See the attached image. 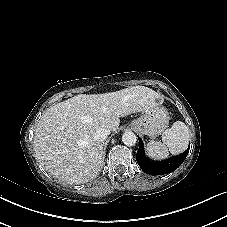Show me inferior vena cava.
<instances>
[{"mask_svg": "<svg viewBox=\"0 0 227 227\" xmlns=\"http://www.w3.org/2000/svg\"><path fill=\"white\" fill-rule=\"evenodd\" d=\"M109 134L110 131L108 129L101 128L95 132L94 138L98 142H103L108 137Z\"/></svg>", "mask_w": 227, "mask_h": 227, "instance_id": "inferior-vena-cava-1", "label": "inferior vena cava"}]
</instances>
